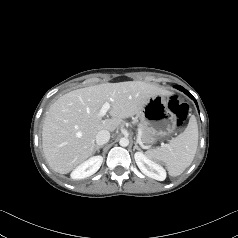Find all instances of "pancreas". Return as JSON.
<instances>
[{
	"label": "pancreas",
	"instance_id": "pancreas-1",
	"mask_svg": "<svg viewBox=\"0 0 238 238\" xmlns=\"http://www.w3.org/2000/svg\"><path fill=\"white\" fill-rule=\"evenodd\" d=\"M139 136L141 138V140L146 143L147 141V133L145 131V129L143 128V126L141 125V132L139 133Z\"/></svg>",
	"mask_w": 238,
	"mask_h": 238
}]
</instances>
